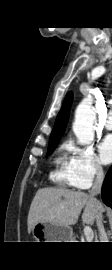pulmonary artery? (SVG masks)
I'll use <instances>...</instances> for the list:
<instances>
[{
    "label": "pulmonary artery",
    "mask_w": 112,
    "mask_h": 270,
    "mask_svg": "<svg viewBox=\"0 0 112 270\" xmlns=\"http://www.w3.org/2000/svg\"><path fill=\"white\" fill-rule=\"evenodd\" d=\"M104 126L106 129L112 130V112L106 118Z\"/></svg>",
    "instance_id": "1"
}]
</instances>
